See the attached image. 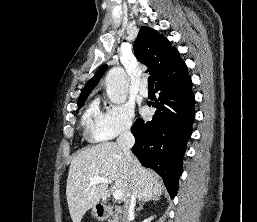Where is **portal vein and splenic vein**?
<instances>
[{
	"instance_id": "1",
	"label": "portal vein and splenic vein",
	"mask_w": 257,
	"mask_h": 222,
	"mask_svg": "<svg viewBox=\"0 0 257 222\" xmlns=\"http://www.w3.org/2000/svg\"><path fill=\"white\" fill-rule=\"evenodd\" d=\"M99 183L111 184L112 180L107 179V178H102V177H99V176L90 179V185H96V184H99ZM113 197H114L115 200L122 199V192L119 191V190H115L113 192Z\"/></svg>"
}]
</instances>
